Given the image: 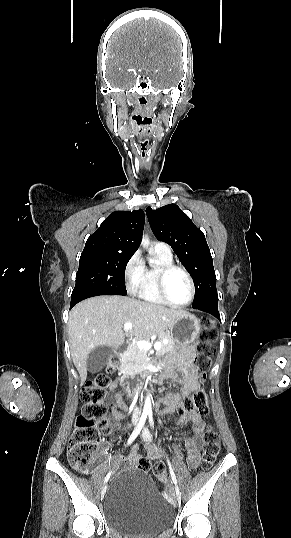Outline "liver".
Segmentation results:
<instances>
[{"label":"liver","instance_id":"1","mask_svg":"<svg viewBox=\"0 0 291 538\" xmlns=\"http://www.w3.org/2000/svg\"><path fill=\"white\" fill-rule=\"evenodd\" d=\"M187 312L125 296H98L78 303L69 313L71 357L81 385L87 377V358L100 346L118 348L126 337H150L162 333ZM131 322L133 327L124 329Z\"/></svg>","mask_w":291,"mask_h":538}]
</instances>
